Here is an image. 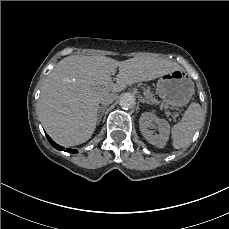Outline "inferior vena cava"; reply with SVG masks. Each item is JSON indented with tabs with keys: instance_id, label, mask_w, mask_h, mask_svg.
Instances as JSON below:
<instances>
[{
	"instance_id": "602c4592",
	"label": "inferior vena cava",
	"mask_w": 229,
	"mask_h": 229,
	"mask_svg": "<svg viewBox=\"0 0 229 229\" xmlns=\"http://www.w3.org/2000/svg\"><path fill=\"white\" fill-rule=\"evenodd\" d=\"M101 104H103L104 106H107V105L110 104V103H108V102L102 100V101H101Z\"/></svg>"
}]
</instances>
